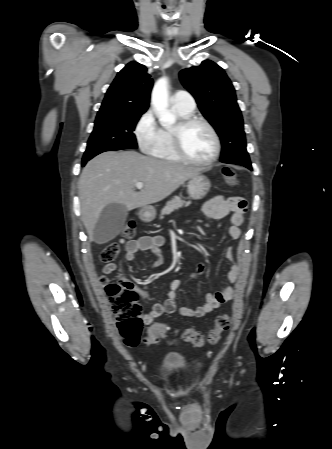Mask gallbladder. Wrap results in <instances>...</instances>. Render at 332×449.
I'll return each mask as SVG.
<instances>
[{"instance_id":"bac80fb5","label":"gallbladder","mask_w":332,"mask_h":449,"mask_svg":"<svg viewBox=\"0 0 332 449\" xmlns=\"http://www.w3.org/2000/svg\"><path fill=\"white\" fill-rule=\"evenodd\" d=\"M128 211L123 204L111 203L104 207L93 230L97 244L113 240L123 229Z\"/></svg>"}]
</instances>
